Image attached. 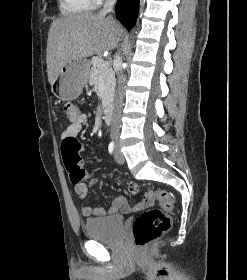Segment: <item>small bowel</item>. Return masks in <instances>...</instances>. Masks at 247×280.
Returning <instances> with one entry per match:
<instances>
[{
    "instance_id": "obj_1",
    "label": "small bowel",
    "mask_w": 247,
    "mask_h": 280,
    "mask_svg": "<svg viewBox=\"0 0 247 280\" xmlns=\"http://www.w3.org/2000/svg\"><path fill=\"white\" fill-rule=\"evenodd\" d=\"M90 118V113H80L79 118L76 121L71 122L63 131L62 140L64 141L66 139H76L77 134L82 128V125L88 123ZM87 191H80L75 188V193L82 202L87 197ZM148 204L150 203H147L145 200H143L135 206H130L125 197L119 196L113 200L112 205L108 210H105L101 207L92 208L86 205H82L81 211L85 217L105 216L107 214H114L118 211L128 213L130 211L140 210Z\"/></svg>"
}]
</instances>
